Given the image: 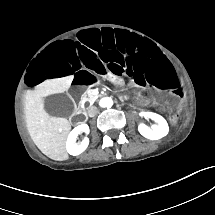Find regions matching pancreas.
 I'll list each match as a JSON object with an SVG mask.
<instances>
[{
  "instance_id": "pancreas-1",
  "label": "pancreas",
  "mask_w": 215,
  "mask_h": 215,
  "mask_svg": "<svg viewBox=\"0 0 215 215\" xmlns=\"http://www.w3.org/2000/svg\"><path fill=\"white\" fill-rule=\"evenodd\" d=\"M100 96H101L100 94L97 96H94L92 94V90L88 89L86 93L83 95L81 104L83 105L85 102H88L89 104H93Z\"/></svg>"
}]
</instances>
